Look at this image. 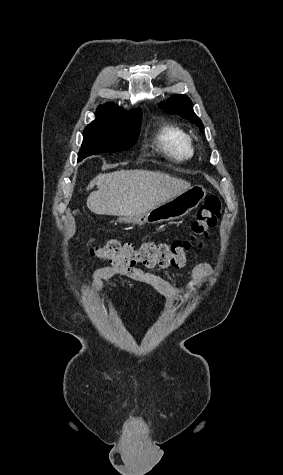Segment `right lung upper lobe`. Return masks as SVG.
<instances>
[{
	"label": "right lung upper lobe",
	"instance_id": "obj_1",
	"mask_svg": "<svg viewBox=\"0 0 283 475\" xmlns=\"http://www.w3.org/2000/svg\"><path fill=\"white\" fill-rule=\"evenodd\" d=\"M98 108H118V107L113 103H106L105 105H101Z\"/></svg>",
	"mask_w": 283,
	"mask_h": 475
}]
</instances>
